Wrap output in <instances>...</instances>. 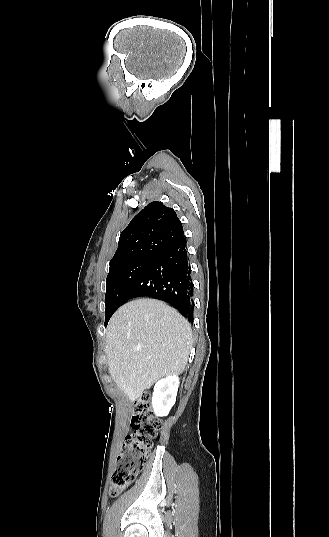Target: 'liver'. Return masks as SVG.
Listing matches in <instances>:
<instances>
[{"label":"liver","mask_w":329,"mask_h":537,"mask_svg":"<svg viewBox=\"0 0 329 537\" xmlns=\"http://www.w3.org/2000/svg\"><path fill=\"white\" fill-rule=\"evenodd\" d=\"M192 346L189 322L154 299L121 306L107 327L105 354L111 377L131 401L165 376L182 373Z\"/></svg>","instance_id":"liver-1"}]
</instances>
